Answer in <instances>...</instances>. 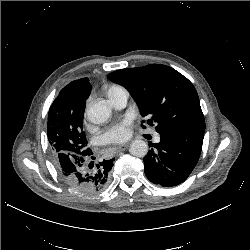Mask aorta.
<instances>
[{"instance_id": "1", "label": "aorta", "mask_w": 250, "mask_h": 250, "mask_svg": "<svg viewBox=\"0 0 250 250\" xmlns=\"http://www.w3.org/2000/svg\"><path fill=\"white\" fill-rule=\"evenodd\" d=\"M112 107L106 100L92 103L87 109V118L94 124L105 123L111 116ZM130 153L135 157H145L148 153V145L143 140H135L131 143Z\"/></svg>"}]
</instances>
